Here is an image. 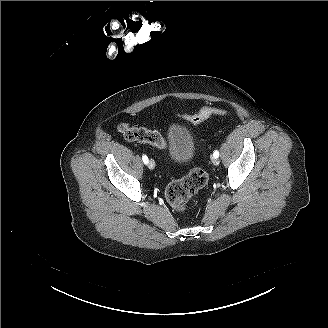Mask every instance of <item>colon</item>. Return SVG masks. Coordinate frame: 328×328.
<instances>
[{"label":"colon","instance_id":"obj_1","mask_svg":"<svg viewBox=\"0 0 328 328\" xmlns=\"http://www.w3.org/2000/svg\"><path fill=\"white\" fill-rule=\"evenodd\" d=\"M225 113L226 111L221 108L204 106L194 114L181 116L190 123L198 124L212 115ZM118 130L129 141L147 143L161 149L167 147V142L157 131L134 127L124 122L118 126ZM207 181V173L201 168H194L181 179L170 182L166 188V199L171 208L177 212H186L189 209L190 198L202 189Z\"/></svg>","mask_w":328,"mask_h":328}]
</instances>
